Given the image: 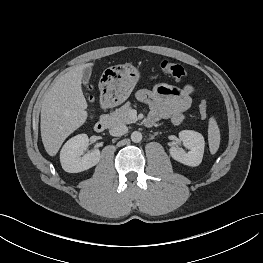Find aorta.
Returning <instances> with one entry per match:
<instances>
[{"mask_svg": "<svg viewBox=\"0 0 263 263\" xmlns=\"http://www.w3.org/2000/svg\"><path fill=\"white\" fill-rule=\"evenodd\" d=\"M131 140L134 143H139L142 140V134L139 131H134L131 134Z\"/></svg>", "mask_w": 263, "mask_h": 263, "instance_id": "obj_1", "label": "aorta"}]
</instances>
